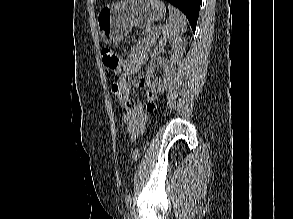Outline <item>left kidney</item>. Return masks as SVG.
Segmentation results:
<instances>
[{"instance_id": "5707ae66", "label": "left kidney", "mask_w": 293, "mask_h": 219, "mask_svg": "<svg viewBox=\"0 0 293 219\" xmlns=\"http://www.w3.org/2000/svg\"><path fill=\"white\" fill-rule=\"evenodd\" d=\"M166 44L171 45V51H169L168 53L170 56V60L165 67V72L162 76V79H158L152 75L154 69L153 65H150L147 68L148 84L150 88L157 93H163L171 84L173 75L175 73L174 65L180 62L185 47L182 39L165 36L159 40L160 51Z\"/></svg>"}]
</instances>
